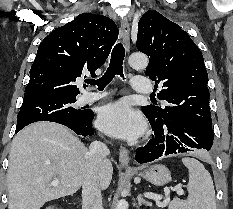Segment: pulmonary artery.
<instances>
[{
  "label": "pulmonary artery",
  "instance_id": "pulmonary-artery-1",
  "mask_svg": "<svg viewBox=\"0 0 233 209\" xmlns=\"http://www.w3.org/2000/svg\"><path fill=\"white\" fill-rule=\"evenodd\" d=\"M132 87L134 91L140 93H150L152 91V85L148 78L141 76H134L132 78ZM107 92H85L81 96V102L83 104L94 102L105 97Z\"/></svg>",
  "mask_w": 233,
  "mask_h": 209
}]
</instances>
